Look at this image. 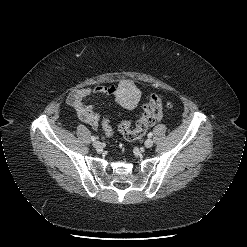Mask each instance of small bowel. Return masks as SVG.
Segmentation results:
<instances>
[{"label": "small bowel", "instance_id": "obj_1", "mask_svg": "<svg viewBox=\"0 0 247 247\" xmlns=\"http://www.w3.org/2000/svg\"><path fill=\"white\" fill-rule=\"evenodd\" d=\"M117 93L118 88L114 85L83 88L71 92L67 98V103L75 111L79 120L93 128H97L100 118L99 113L91 105L87 104V99L97 95L115 96ZM159 117H161V114H159Z\"/></svg>", "mask_w": 247, "mask_h": 247}]
</instances>
